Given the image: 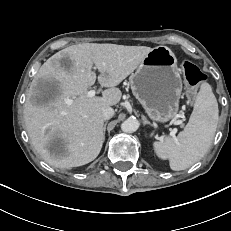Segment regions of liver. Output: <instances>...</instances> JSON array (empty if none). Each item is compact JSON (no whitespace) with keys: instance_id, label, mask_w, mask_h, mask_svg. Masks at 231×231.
<instances>
[{"instance_id":"liver-1","label":"liver","mask_w":231,"mask_h":231,"mask_svg":"<svg viewBox=\"0 0 231 231\" xmlns=\"http://www.w3.org/2000/svg\"><path fill=\"white\" fill-rule=\"evenodd\" d=\"M153 48L83 43L51 56L35 75L24 105L26 130L35 150L49 165L71 168L93 161L104 141L102 108L116 105L122 96L118 86ZM97 79L107 89L89 98ZM55 83L52 98L43 104L32 100L39 82Z\"/></svg>"}]
</instances>
